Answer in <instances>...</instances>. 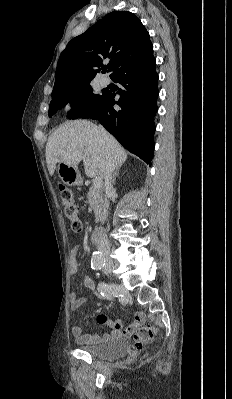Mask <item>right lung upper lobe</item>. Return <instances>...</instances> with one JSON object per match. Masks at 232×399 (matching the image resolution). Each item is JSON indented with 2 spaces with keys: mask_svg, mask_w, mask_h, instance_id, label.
I'll use <instances>...</instances> for the list:
<instances>
[{
  "mask_svg": "<svg viewBox=\"0 0 232 399\" xmlns=\"http://www.w3.org/2000/svg\"><path fill=\"white\" fill-rule=\"evenodd\" d=\"M153 52L149 33L128 11H113L85 33L73 38L62 51L52 95L66 93L90 81L99 70L112 72ZM110 62L103 66V61Z\"/></svg>",
  "mask_w": 232,
  "mask_h": 399,
  "instance_id": "right-lung-upper-lobe-1",
  "label": "right lung upper lobe"
}]
</instances>
